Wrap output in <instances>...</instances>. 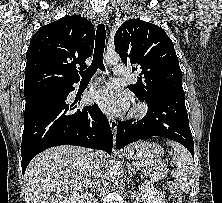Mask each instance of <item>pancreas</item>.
<instances>
[{
  "label": "pancreas",
  "mask_w": 222,
  "mask_h": 203,
  "mask_svg": "<svg viewBox=\"0 0 222 203\" xmlns=\"http://www.w3.org/2000/svg\"><path fill=\"white\" fill-rule=\"evenodd\" d=\"M144 163L140 166V170L145 174L149 175L151 178L159 180L164 178L167 174L166 164L159 160H144L141 161Z\"/></svg>",
  "instance_id": "pancreas-1"
}]
</instances>
